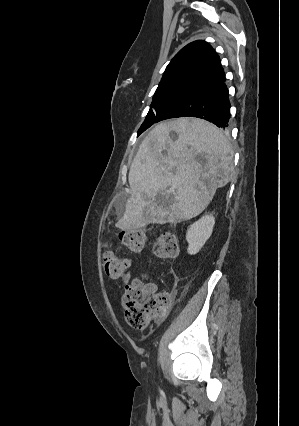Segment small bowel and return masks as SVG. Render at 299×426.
Masks as SVG:
<instances>
[{
    "label": "small bowel",
    "mask_w": 299,
    "mask_h": 426,
    "mask_svg": "<svg viewBox=\"0 0 299 426\" xmlns=\"http://www.w3.org/2000/svg\"><path fill=\"white\" fill-rule=\"evenodd\" d=\"M130 278H131V273L130 272L125 273L124 276H123L124 284H127L129 282ZM152 288L154 289V287H152Z\"/></svg>",
    "instance_id": "1"
}]
</instances>
